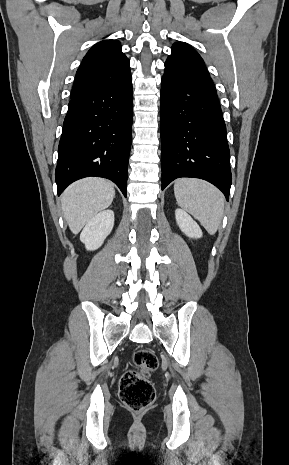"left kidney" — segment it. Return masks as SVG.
Here are the masks:
<instances>
[{
	"mask_svg": "<svg viewBox=\"0 0 289 465\" xmlns=\"http://www.w3.org/2000/svg\"><path fill=\"white\" fill-rule=\"evenodd\" d=\"M176 222L180 230L189 238H201L202 230L199 225L182 209L175 210Z\"/></svg>",
	"mask_w": 289,
	"mask_h": 465,
	"instance_id": "obj_1",
	"label": "left kidney"
}]
</instances>
